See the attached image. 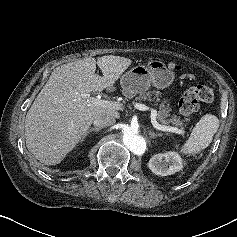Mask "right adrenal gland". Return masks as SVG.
Listing matches in <instances>:
<instances>
[{
    "instance_id": "2a0ac1e0",
    "label": "right adrenal gland",
    "mask_w": 237,
    "mask_h": 237,
    "mask_svg": "<svg viewBox=\"0 0 237 237\" xmlns=\"http://www.w3.org/2000/svg\"><path fill=\"white\" fill-rule=\"evenodd\" d=\"M101 130V128H99V127H92V128H90L88 131H86V133L84 134V136H83V138H82V140H81V142H83L84 141V139L87 137V135L90 133V132H92V131H94V132H99Z\"/></svg>"
}]
</instances>
